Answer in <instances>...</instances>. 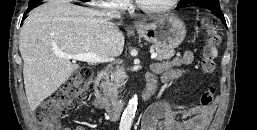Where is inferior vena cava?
Returning a JSON list of instances; mask_svg holds the SVG:
<instances>
[{"instance_id": "obj_1", "label": "inferior vena cava", "mask_w": 257, "mask_h": 130, "mask_svg": "<svg viewBox=\"0 0 257 130\" xmlns=\"http://www.w3.org/2000/svg\"><path fill=\"white\" fill-rule=\"evenodd\" d=\"M103 14L110 20L113 18H120V13L115 8H109L105 10ZM110 24L114 25L112 22Z\"/></svg>"}]
</instances>
